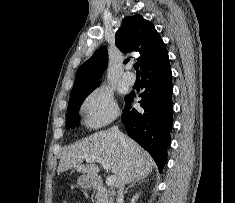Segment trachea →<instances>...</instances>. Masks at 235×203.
Returning <instances> with one entry per match:
<instances>
[{
    "label": "trachea",
    "instance_id": "obj_1",
    "mask_svg": "<svg viewBox=\"0 0 235 203\" xmlns=\"http://www.w3.org/2000/svg\"><path fill=\"white\" fill-rule=\"evenodd\" d=\"M134 69L137 71V75H140V71L138 70L139 69V64L138 63L134 64Z\"/></svg>",
    "mask_w": 235,
    "mask_h": 203
}]
</instances>
